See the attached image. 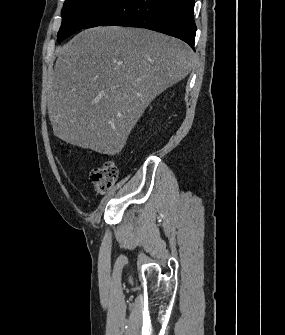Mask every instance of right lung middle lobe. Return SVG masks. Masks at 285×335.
<instances>
[{
	"mask_svg": "<svg viewBox=\"0 0 285 335\" xmlns=\"http://www.w3.org/2000/svg\"><path fill=\"white\" fill-rule=\"evenodd\" d=\"M115 0H65L62 9V24L58 32L60 43L85 26L96 15L109 7Z\"/></svg>",
	"mask_w": 285,
	"mask_h": 335,
	"instance_id": "1",
	"label": "right lung middle lobe"
}]
</instances>
